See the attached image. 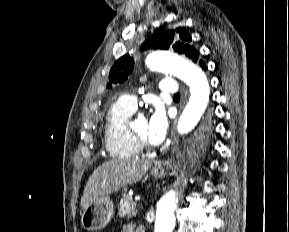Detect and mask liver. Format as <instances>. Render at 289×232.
Listing matches in <instances>:
<instances>
[{"label":"liver","instance_id":"1","mask_svg":"<svg viewBox=\"0 0 289 232\" xmlns=\"http://www.w3.org/2000/svg\"><path fill=\"white\" fill-rule=\"evenodd\" d=\"M151 160L114 159L99 166L90 176L81 198L85 209L93 201L137 183L151 167Z\"/></svg>","mask_w":289,"mask_h":232}]
</instances>
